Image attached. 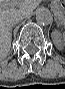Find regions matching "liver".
Segmentation results:
<instances>
[{"instance_id": "liver-1", "label": "liver", "mask_w": 65, "mask_h": 89, "mask_svg": "<svg viewBox=\"0 0 65 89\" xmlns=\"http://www.w3.org/2000/svg\"><path fill=\"white\" fill-rule=\"evenodd\" d=\"M40 0H1L0 1V56H7L12 41V20L29 15Z\"/></svg>"}]
</instances>
